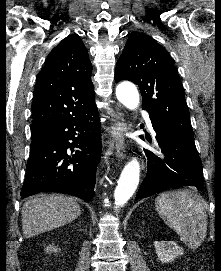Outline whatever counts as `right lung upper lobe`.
Returning <instances> with one entry per match:
<instances>
[{
  "label": "right lung upper lobe",
  "instance_id": "cb5924a9",
  "mask_svg": "<svg viewBox=\"0 0 221 271\" xmlns=\"http://www.w3.org/2000/svg\"><path fill=\"white\" fill-rule=\"evenodd\" d=\"M92 65L83 41L68 37L48 55L37 75L31 131L45 130L95 107Z\"/></svg>",
  "mask_w": 221,
  "mask_h": 271
}]
</instances>
